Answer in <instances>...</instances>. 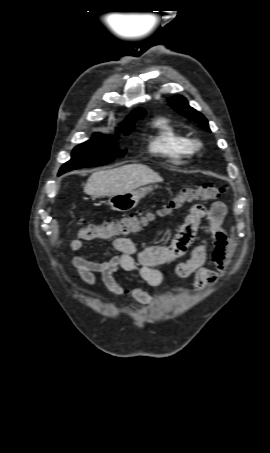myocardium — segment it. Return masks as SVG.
I'll list each match as a JSON object with an SVG mask.
<instances>
[{
    "instance_id": "obj_1",
    "label": "myocardium",
    "mask_w": 270,
    "mask_h": 453,
    "mask_svg": "<svg viewBox=\"0 0 270 453\" xmlns=\"http://www.w3.org/2000/svg\"><path fill=\"white\" fill-rule=\"evenodd\" d=\"M189 147L191 151H198L202 148V142L198 139L189 140Z\"/></svg>"
}]
</instances>
